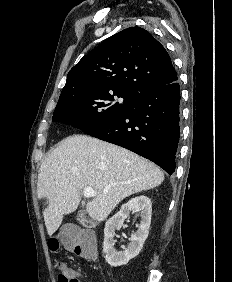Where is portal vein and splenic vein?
Returning <instances> with one entry per match:
<instances>
[{
    "mask_svg": "<svg viewBox=\"0 0 232 282\" xmlns=\"http://www.w3.org/2000/svg\"><path fill=\"white\" fill-rule=\"evenodd\" d=\"M83 194L85 198L95 197L97 193L91 187H85L83 189Z\"/></svg>",
    "mask_w": 232,
    "mask_h": 282,
    "instance_id": "portal-vein-and-splenic-vein-1",
    "label": "portal vein and splenic vein"
}]
</instances>
